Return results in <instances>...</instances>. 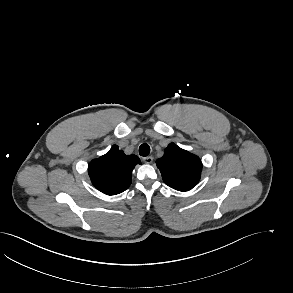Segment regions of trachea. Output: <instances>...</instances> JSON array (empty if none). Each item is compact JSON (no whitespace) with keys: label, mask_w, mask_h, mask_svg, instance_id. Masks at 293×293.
I'll return each mask as SVG.
<instances>
[{"label":"trachea","mask_w":293,"mask_h":293,"mask_svg":"<svg viewBox=\"0 0 293 293\" xmlns=\"http://www.w3.org/2000/svg\"><path fill=\"white\" fill-rule=\"evenodd\" d=\"M150 153V147L148 144H142L139 147V154L143 157L148 156V154Z\"/></svg>","instance_id":"3493384b"}]
</instances>
